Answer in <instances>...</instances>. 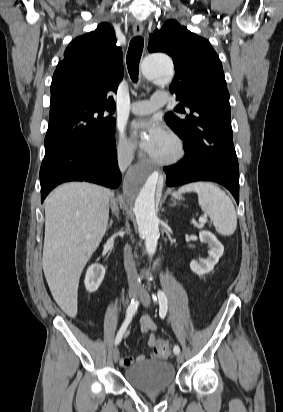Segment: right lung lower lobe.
<instances>
[{"label":"right lung lower lobe","instance_id":"right-lung-lower-lobe-1","mask_svg":"<svg viewBox=\"0 0 283 412\" xmlns=\"http://www.w3.org/2000/svg\"><path fill=\"white\" fill-rule=\"evenodd\" d=\"M67 181H88L116 188L121 182L115 138L88 143L64 142L45 150L40 168L41 202L57 185Z\"/></svg>","mask_w":283,"mask_h":412}]
</instances>
